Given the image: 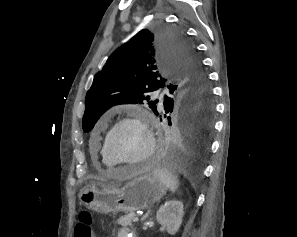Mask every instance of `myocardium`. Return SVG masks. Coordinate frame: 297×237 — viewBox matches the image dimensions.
Here are the masks:
<instances>
[{
  "mask_svg": "<svg viewBox=\"0 0 297 237\" xmlns=\"http://www.w3.org/2000/svg\"><path fill=\"white\" fill-rule=\"evenodd\" d=\"M126 123H135L139 125L142 128V130L145 132V135L147 138V148L145 153L138 159H134V160L121 159L112 151L110 147V141L113 133L120 126ZM104 147L106 152L110 156V158L120 166L136 165V164L147 162L149 159H151L154 156L157 149L156 136H155L153 127L151 125L150 117L146 114L137 113V114L128 115L120 118L107 132L105 141H104Z\"/></svg>",
  "mask_w": 297,
  "mask_h": 237,
  "instance_id": "1",
  "label": "myocardium"
}]
</instances>
